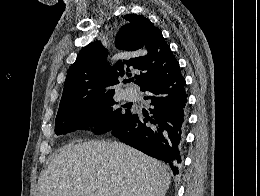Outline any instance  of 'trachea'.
<instances>
[{"label":"trachea","instance_id":"trachea-1","mask_svg":"<svg viewBox=\"0 0 260 196\" xmlns=\"http://www.w3.org/2000/svg\"><path fill=\"white\" fill-rule=\"evenodd\" d=\"M126 81H128V82L134 81V78H128V80H126Z\"/></svg>","mask_w":260,"mask_h":196}]
</instances>
